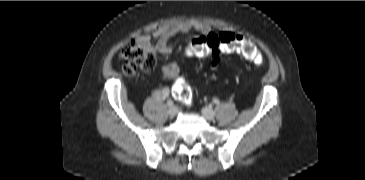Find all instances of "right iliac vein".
I'll return each instance as SVG.
<instances>
[{"label": "right iliac vein", "mask_w": 365, "mask_h": 180, "mask_svg": "<svg viewBox=\"0 0 365 180\" xmlns=\"http://www.w3.org/2000/svg\"><path fill=\"white\" fill-rule=\"evenodd\" d=\"M178 113V108L175 107V106H171L169 109H168V114L171 118H173L176 114Z\"/></svg>", "instance_id": "obj_1"}]
</instances>
